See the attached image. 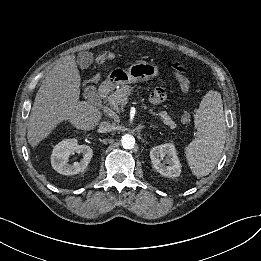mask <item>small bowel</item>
Wrapping results in <instances>:
<instances>
[{"instance_id": "c3829d8e", "label": "small bowel", "mask_w": 261, "mask_h": 261, "mask_svg": "<svg viewBox=\"0 0 261 261\" xmlns=\"http://www.w3.org/2000/svg\"><path fill=\"white\" fill-rule=\"evenodd\" d=\"M183 82L186 83L187 85H189V80L185 78L184 80H179L180 86ZM165 98H166L165 91L161 88H157L151 96V101L155 104H158V103L163 102L165 100ZM182 120H183V122L188 121V114L187 113L183 114Z\"/></svg>"}]
</instances>
